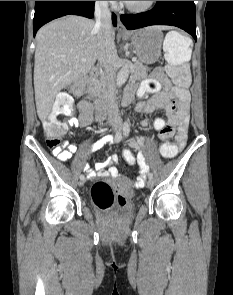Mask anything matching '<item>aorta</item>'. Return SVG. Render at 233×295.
Returning <instances> with one entry per match:
<instances>
[{"label":"aorta","mask_w":233,"mask_h":295,"mask_svg":"<svg viewBox=\"0 0 233 295\" xmlns=\"http://www.w3.org/2000/svg\"><path fill=\"white\" fill-rule=\"evenodd\" d=\"M128 76H129V66L126 64L118 72L117 79H116L117 85L122 86L126 82Z\"/></svg>","instance_id":"obj_1"}]
</instances>
